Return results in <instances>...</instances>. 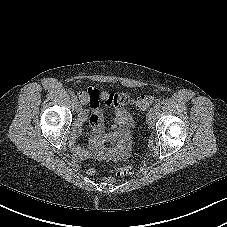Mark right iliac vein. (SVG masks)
I'll return each instance as SVG.
<instances>
[{
  "label": "right iliac vein",
  "instance_id": "1",
  "mask_svg": "<svg viewBox=\"0 0 227 227\" xmlns=\"http://www.w3.org/2000/svg\"><path fill=\"white\" fill-rule=\"evenodd\" d=\"M74 107H75V110L77 112H79L81 110V104H80V102L79 101H75L74 102Z\"/></svg>",
  "mask_w": 227,
  "mask_h": 227
}]
</instances>
